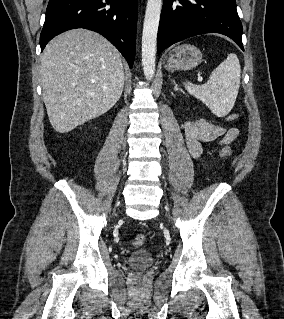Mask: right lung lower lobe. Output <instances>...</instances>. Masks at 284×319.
<instances>
[{
    "label": "right lung lower lobe",
    "mask_w": 284,
    "mask_h": 319,
    "mask_svg": "<svg viewBox=\"0 0 284 319\" xmlns=\"http://www.w3.org/2000/svg\"><path fill=\"white\" fill-rule=\"evenodd\" d=\"M137 0H49L40 35L41 51L56 35L86 28L107 38L133 66Z\"/></svg>",
    "instance_id": "right-lung-lower-lobe-1"
}]
</instances>
